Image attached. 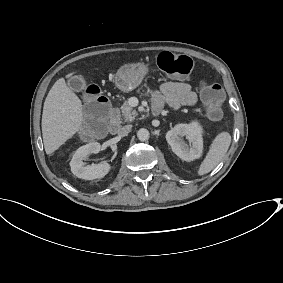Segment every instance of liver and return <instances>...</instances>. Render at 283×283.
Here are the masks:
<instances>
[{"instance_id":"liver-1","label":"liver","mask_w":283,"mask_h":283,"mask_svg":"<svg viewBox=\"0 0 283 283\" xmlns=\"http://www.w3.org/2000/svg\"><path fill=\"white\" fill-rule=\"evenodd\" d=\"M72 75L68 74L67 77ZM82 103L66 85L58 79L44 102L42 136L46 154H51L81 129Z\"/></svg>"}]
</instances>
